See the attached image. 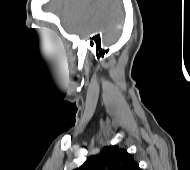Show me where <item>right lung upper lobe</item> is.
Masks as SVG:
<instances>
[{
	"label": "right lung upper lobe",
	"instance_id": "obj_1",
	"mask_svg": "<svg viewBox=\"0 0 190 170\" xmlns=\"http://www.w3.org/2000/svg\"><path fill=\"white\" fill-rule=\"evenodd\" d=\"M75 170H141L125 149L106 146Z\"/></svg>",
	"mask_w": 190,
	"mask_h": 170
}]
</instances>
